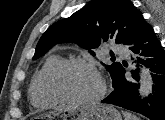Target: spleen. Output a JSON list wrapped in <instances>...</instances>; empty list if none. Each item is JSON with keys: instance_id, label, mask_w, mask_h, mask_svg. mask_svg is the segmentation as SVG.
Returning a JSON list of instances; mask_svg holds the SVG:
<instances>
[{"instance_id": "obj_1", "label": "spleen", "mask_w": 165, "mask_h": 120, "mask_svg": "<svg viewBox=\"0 0 165 120\" xmlns=\"http://www.w3.org/2000/svg\"><path fill=\"white\" fill-rule=\"evenodd\" d=\"M123 115L125 120H139V118H137L136 116L132 115L127 111H123Z\"/></svg>"}]
</instances>
